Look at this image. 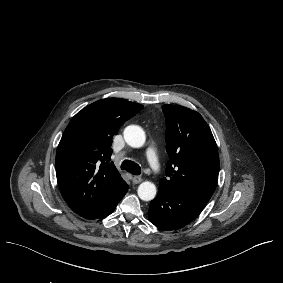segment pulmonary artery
Here are the masks:
<instances>
[{"label":"pulmonary artery","mask_w":283,"mask_h":283,"mask_svg":"<svg viewBox=\"0 0 283 283\" xmlns=\"http://www.w3.org/2000/svg\"><path fill=\"white\" fill-rule=\"evenodd\" d=\"M146 154H147V161L148 163L150 164H155L157 163L158 161V156L157 154H155V151L153 148H148L147 151H146Z\"/></svg>","instance_id":"1"}]
</instances>
